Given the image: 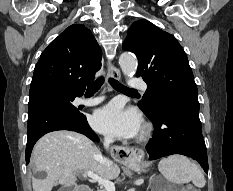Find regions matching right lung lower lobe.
<instances>
[{"mask_svg":"<svg viewBox=\"0 0 233 191\" xmlns=\"http://www.w3.org/2000/svg\"><path fill=\"white\" fill-rule=\"evenodd\" d=\"M56 130L75 131L93 141H98L97 135L88 125L83 113L68 111L53 105H39L28 113L26 164L29 163L31 151L37 140L44 134Z\"/></svg>","mask_w":233,"mask_h":191,"instance_id":"98d812e1","label":"right lung lower lobe"}]
</instances>
